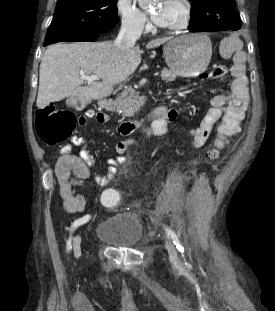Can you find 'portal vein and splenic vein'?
<instances>
[{"instance_id": "1", "label": "portal vein and splenic vein", "mask_w": 275, "mask_h": 311, "mask_svg": "<svg viewBox=\"0 0 275 311\" xmlns=\"http://www.w3.org/2000/svg\"><path fill=\"white\" fill-rule=\"evenodd\" d=\"M159 72L154 73V76H158ZM81 79L87 82H93L99 79L97 75H81Z\"/></svg>"}]
</instances>
